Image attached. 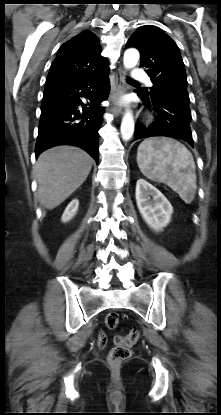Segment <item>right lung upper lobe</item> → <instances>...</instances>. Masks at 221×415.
Returning <instances> with one entry per match:
<instances>
[{
	"instance_id": "obj_1",
	"label": "right lung upper lobe",
	"mask_w": 221,
	"mask_h": 415,
	"mask_svg": "<svg viewBox=\"0 0 221 415\" xmlns=\"http://www.w3.org/2000/svg\"><path fill=\"white\" fill-rule=\"evenodd\" d=\"M101 51L95 34L90 31L81 32L59 48L46 84L68 82L104 73L109 67L108 60L101 56Z\"/></svg>"
}]
</instances>
